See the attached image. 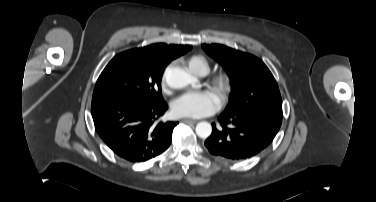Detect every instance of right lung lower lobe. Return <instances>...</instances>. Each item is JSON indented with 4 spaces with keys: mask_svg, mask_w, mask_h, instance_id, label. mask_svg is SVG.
I'll list each match as a JSON object with an SVG mask.
<instances>
[{
    "mask_svg": "<svg viewBox=\"0 0 376 202\" xmlns=\"http://www.w3.org/2000/svg\"><path fill=\"white\" fill-rule=\"evenodd\" d=\"M167 110L159 101L110 98L91 105L97 133L115 154L130 162H144L170 145L177 122L154 121Z\"/></svg>",
    "mask_w": 376,
    "mask_h": 202,
    "instance_id": "98d812e1",
    "label": "right lung lower lobe"
}]
</instances>
